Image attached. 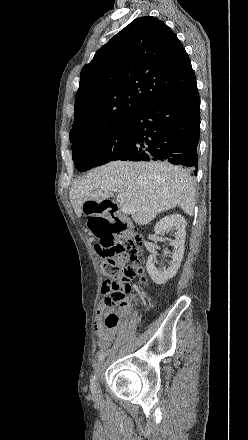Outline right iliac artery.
<instances>
[{"mask_svg": "<svg viewBox=\"0 0 248 440\" xmlns=\"http://www.w3.org/2000/svg\"><path fill=\"white\" fill-rule=\"evenodd\" d=\"M107 356L106 352H100L98 355V360L102 361Z\"/></svg>", "mask_w": 248, "mask_h": 440, "instance_id": "right-iliac-artery-1", "label": "right iliac artery"}]
</instances>
